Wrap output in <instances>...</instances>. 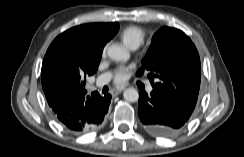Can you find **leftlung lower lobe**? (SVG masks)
<instances>
[{
	"label": "left lung lower lobe",
	"instance_id": "1",
	"mask_svg": "<svg viewBox=\"0 0 244 157\" xmlns=\"http://www.w3.org/2000/svg\"><path fill=\"white\" fill-rule=\"evenodd\" d=\"M138 115L145 128L153 135L171 138L181 133L192 114L178 107L170 98L153 88L150 95L139 94Z\"/></svg>",
	"mask_w": 244,
	"mask_h": 157
}]
</instances>
